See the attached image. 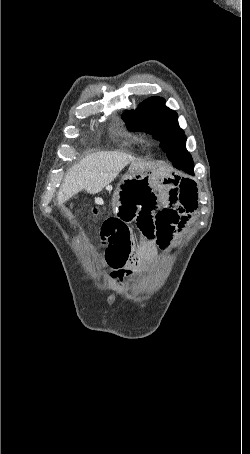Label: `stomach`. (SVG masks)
I'll use <instances>...</instances> for the list:
<instances>
[{"mask_svg": "<svg viewBox=\"0 0 250 454\" xmlns=\"http://www.w3.org/2000/svg\"><path fill=\"white\" fill-rule=\"evenodd\" d=\"M124 176H153L149 168L141 163H131L128 172Z\"/></svg>", "mask_w": 250, "mask_h": 454, "instance_id": "obj_1", "label": "stomach"}]
</instances>
